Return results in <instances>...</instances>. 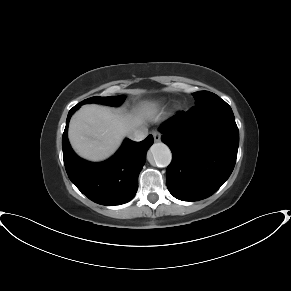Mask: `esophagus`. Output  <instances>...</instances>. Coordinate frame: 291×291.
<instances>
[{
    "label": "esophagus",
    "instance_id": "34e87169",
    "mask_svg": "<svg viewBox=\"0 0 291 291\" xmlns=\"http://www.w3.org/2000/svg\"><path fill=\"white\" fill-rule=\"evenodd\" d=\"M153 138L155 142H159L161 139V135L157 131L152 132Z\"/></svg>",
    "mask_w": 291,
    "mask_h": 291
}]
</instances>
